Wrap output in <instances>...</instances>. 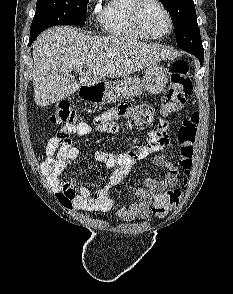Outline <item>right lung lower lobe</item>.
<instances>
[{
    "label": "right lung lower lobe",
    "mask_w": 233,
    "mask_h": 294,
    "mask_svg": "<svg viewBox=\"0 0 233 294\" xmlns=\"http://www.w3.org/2000/svg\"><path fill=\"white\" fill-rule=\"evenodd\" d=\"M37 38V37H36ZM35 37L34 38H30V42H29V45L36 39Z\"/></svg>",
    "instance_id": "right-lung-lower-lobe-1"
}]
</instances>
